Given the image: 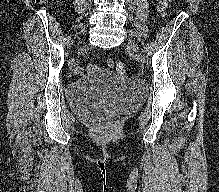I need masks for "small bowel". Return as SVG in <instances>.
<instances>
[{
    "label": "small bowel",
    "instance_id": "c3829d8e",
    "mask_svg": "<svg viewBox=\"0 0 219 192\" xmlns=\"http://www.w3.org/2000/svg\"><path fill=\"white\" fill-rule=\"evenodd\" d=\"M90 69L93 70V71H97L98 70L97 67L93 66V65L90 66Z\"/></svg>",
    "mask_w": 219,
    "mask_h": 192
}]
</instances>
